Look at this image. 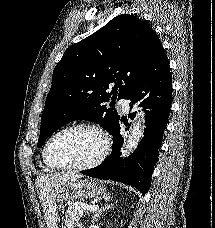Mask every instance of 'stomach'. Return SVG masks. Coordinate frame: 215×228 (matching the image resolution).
I'll return each mask as SVG.
<instances>
[{"mask_svg": "<svg viewBox=\"0 0 215 228\" xmlns=\"http://www.w3.org/2000/svg\"><path fill=\"white\" fill-rule=\"evenodd\" d=\"M104 182L100 180H80V182H61L54 192V200L59 206L64 202H74V200H85V198H98L105 194Z\"/></svg>", "mask_w": 215, "mask_h": 228, "instance_id": "obj_1", "label": "stomach"}]
</instances>
